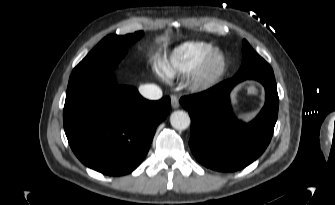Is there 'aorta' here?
I'll use <instances>...</instances> for the list:
<instances>
[{"label": "aorta", "instance_id": "1", "mask_svg": "<svg viewBox=\"0 0 335 205\" xmlns=\"http://www.w3.org/2000/svg\"><path fill=\"white\" fill-rule=\"evenodd\" d=\"M170 123L177 130H185L190 126L191 120L188 113L178 110L171 114Z\"/></svg>", "mask_w": 335, "mask_h": 205}]
</instances>
